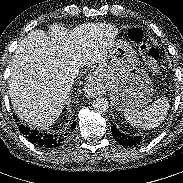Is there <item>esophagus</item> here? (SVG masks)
Wrapping results in <instances>:
<instances>
[{
  "instance_id": "1",
  "label": "esophagus",
  "mask_w": 183,
  "mask_h": 183,
  "mask_svg": "<svg viewBox=\"0 0 183 183\" xmlns=\"http://www.w3.org/2000/svg\"><path fill=\"white\" fill-rule=\"evenodd\" d=\"M85 90L90 96H97L103 92L100 79L96 74L91 75L87 80Z\"/></svg>"
}]
</instances>
